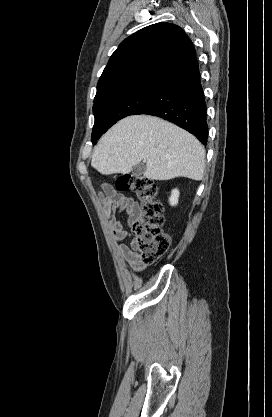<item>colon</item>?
<instances>
[{
	"label": "colon",
	"mask_w": 272,
	"mask_h": 417,
	"mask_svg": "<svg viewBox=\"0 0 272 417\" xmlns=\"http://www.w3.org/2000/svg\"><path fill=\"white\" fill-rule=\"evenodd\" d=\"M116 188L132 191L140 200V210L132 223L131 232L142 262L152 264L170 247V236L162 229L164 207L157 199V185L144 176L126 174L117 178Z\"/></svg>",
	"instance_id": "1"
}]
</instances>
